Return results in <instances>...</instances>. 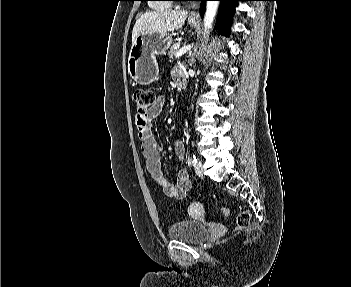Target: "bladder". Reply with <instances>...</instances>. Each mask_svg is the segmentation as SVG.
I'll return each mask as SVG.
<instances>
[{
  "instance_id": "1",
  "label": "bladder",
  "mask_w": 351,
  "mask_h": 287,
  "mask_svg": "<svg viewBox=\"0 0 351 287\" xmlns=\"http://www.w3.org/2000/svg\"><path fill=\"white\" fill-rule=\"evenodd\" d=\"M208 234V226L202 220L185 219L173 223L168 229V236L173 240L196 244Z\"/></svg>"
}]
</instances>
